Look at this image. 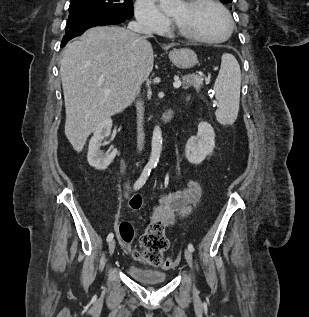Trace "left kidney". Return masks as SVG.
Listing matches in <instances>:
<instances>
[{
    "label": "left kidney",
    "mask_w": 309,
    "mask_h": 317,
    "mask_svg": "<svg viewBox=\"0 0 309 317\" xmlns=\"http://www.w3.org/2000/svg\"><path fill=\"white\" fill-rule=\"evenodd\" d=\"M215 147V133L207 122L198 125L197 136L190 138L185 146V156L188 162L200 164L207 155L212 154Z\"/></svg>",
    "instance_id": "obj_1"
}]
</instances>
